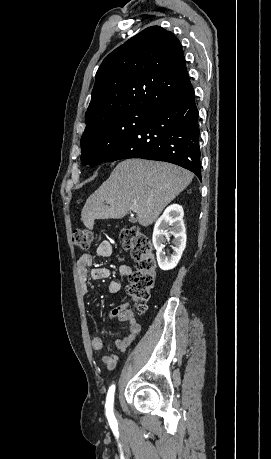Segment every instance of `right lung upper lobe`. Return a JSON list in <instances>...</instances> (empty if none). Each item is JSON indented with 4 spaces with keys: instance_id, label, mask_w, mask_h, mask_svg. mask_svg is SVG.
<instances>
[{
    "instance_id": "cb5924a9",
    "label": "right lung upper lobe",
    "mask_w": 271,
    "mask_h": 459,
    "mask_svg": "<svg viewBox=\"0 0 271 459\" xmlns=\"http://www.w3.org/2000/svg\"><path fill=\"white\" fill-rule=\"evenodd\" d=\"M189 82L179 40L159 26L146 28L103 60L85 121L139 105L157 108Z\"/></svg>"
}]
</instances>
